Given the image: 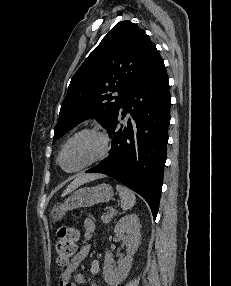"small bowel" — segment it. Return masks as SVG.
Wrapping results in <instances>:
<instances>
[{
  "label": "small bowel",
  "mask_w": 231,
  "mask_h": 286,
  "mask_svg": "<svg viewBox=\"0 0 231 286\" xmlns=\"http://www.w3.org/2000/svg\"><path fill=\"white\" fill-rule=\"evenodd\" d=\"M84 239L81 243L79 251L74 255L68 264L67 268L61 273L59 277V286H78L79 284L87 285L85 277L76 273V269L82 261L88 256L90 251V239L95 231V223L91 218H86L83 221ZM100 271V263L98 260H93L90 264V272L95 277ZM74 279V280H72ZM89 286H98L96 279H93Z\"/></svg>",
  "instance_id": "1"
}]
</instances>
